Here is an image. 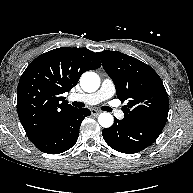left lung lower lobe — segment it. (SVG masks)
Segmentation results:
<instances>
[{"label": "left lung lower lobe", "mask_w": 193, "mask_h": 193, "mask_svg": "<svg viewBox=\"0 0 193 193\" xmlns=\"http://www.w3.org/2000/svg\"><path fill=\"white\" fill-rule=\"evenodd\" d=\"M166 121L130 124L115 119L114 124L102 131L105 142L114 150L133 154L151 145L160 135Z\"/></svg>", "instance_id": "0a47b994"}]
</instances>
